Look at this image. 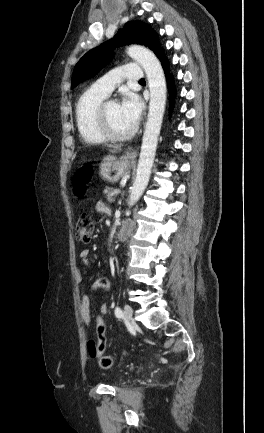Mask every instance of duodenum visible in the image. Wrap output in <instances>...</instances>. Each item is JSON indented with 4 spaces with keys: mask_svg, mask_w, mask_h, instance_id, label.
I'll return each mask as SVG.
<instances>
[{
    "mask_svg": "<svg viewBox=\"0 0 264 433\" xmlns=\"http://www.w3.org/2000/svg\"><path fill=\"white\" fill-rule=\"evenodd\" d=\"M118 238H121V234L118 235Z\"/></svg>",
    "mask_w": 264,
    "mask_h": 433,
    "instance_id": "obj_1",
    "label": "duodenum"
}]
</instances>
